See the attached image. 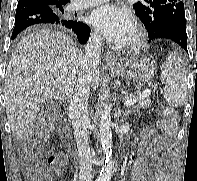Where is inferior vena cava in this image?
Masks as SVG:
<instances>
[{"instance_id":"602c4592","label":"inferior vena cava","mask_w":197,"mask_h":181,"mask_svg":"<svg viewBox=\"0 0 197 181\" xmlns=\"http://www.w3.org/2000/svg\"><path fill=\"white\" fill-rule=\"evenodd\" d=\"M101 40V37L95 33L90 36L85 47V56L81 61L80 75L69 101V117L72 120L80 159L79 181L92 180V155L87 131L90 120L87 104L90 95L89 77L100 61Z\"/></svg>"}]
</instances>
